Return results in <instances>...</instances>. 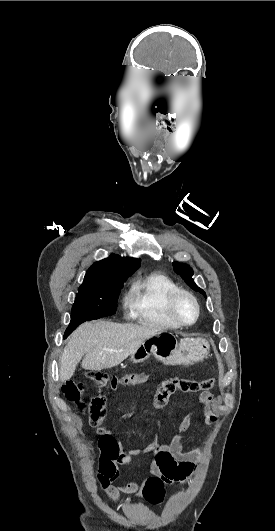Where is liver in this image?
<instances>
[{"mask_svg": "<svg viewBox=\"0 0 275 531\" xmlns=\"http://www.w3.org/2000/svg\"><path fill=\"white\" fill-rule=\"evenodd\" d=\"M155 325L134 323H109L92 321L83 323L72 333L60 357V381H69L83 355L82 369L102 371L120 365L142 341L159 335ZM109 349V351H103Z\"/></svg>", "mask_w": 275, "mask_h": 531, "instance_id": "6515ba94", "label": "liver"}]
</instances>
